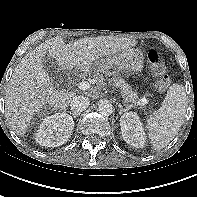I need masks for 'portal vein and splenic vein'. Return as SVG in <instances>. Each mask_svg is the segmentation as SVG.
<instances>
[{
	"label": "portal vein and splenic vein",
	"instance_id": "portal-vein-and-splenic-vein-1",
	"mask_svg": "<svg viewBox=\"0 0 197 197\" xmlns=\"http://www.w3.org/2000/svg\"><path fill=\"white\" fill-rule=\"evenodd\" d=\"M78 88H79L80 90L85 91V90H87V89L90 88V83L87 82V81L80 82L79 85H78ZM148 102H149L148 99H146V98H141V99H139V101L137 102V105H139V106H144V105L148 104Z\"/></svg>",
	"mask_w": 197,
	"mask_h": 197
}]
</instances>
